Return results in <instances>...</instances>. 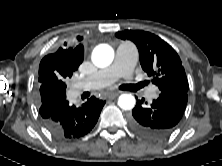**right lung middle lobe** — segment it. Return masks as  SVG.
I'll return each mask as SVG.
<instances>
[{"mask_svg": "<svg viewBox=\"0 0 222 166\" xmlns=\"http://www.w3.org/2000/svg\"><path fill=\"white\" fill-rule=\"evenodd\" d=\"M76 69L70 66L57 67H39V83H53L61 88L66 89V80L70 78Z\"/></svg>", "mask_w": 222, "mask_h": 166, "instance_id": "obj_1", "label": "right lung middle lobe"}]
</instances>
